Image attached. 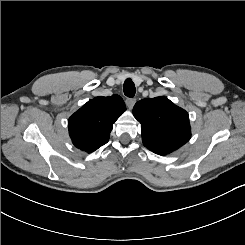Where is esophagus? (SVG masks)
I'll return each mask as SVG.
<instances>
[{
	"mask_svg": "<svg viewBox=\"0 0 245 245\" xmlns=\"http://www.w3.org/2000/svg\"><path fill=\"white\" fill-rule=\"evenodd\" d=\"M136 103V99L134 98H127L126 99V105L128 106V108L132 109L134 104Z\"/></svg>",
	"mask_w": 245,
	"mask_h": 245,
	"instance_id": "obj_1",
	"label": "esophagus"
}]
</instances>
